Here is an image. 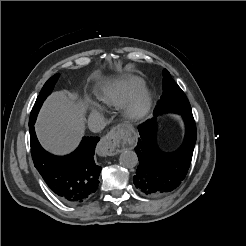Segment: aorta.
<instances>
[{
	"label": "aorta",
	"mask_w": 246,
	"mask_h": 246,
	"mask_svg": "<svg viewBox=\"0 0 246 246\" xmlns=\"http://www.w3.org/2000/svg\"><path fill=\"white\" fill-rule=\"evenodd\" d=\"M119 162L125 168H133L138 163L137 154L130 150L124 151L120 154Z\"/></svg>",
	"instance_id": "obj_1"
}]
</instances>
